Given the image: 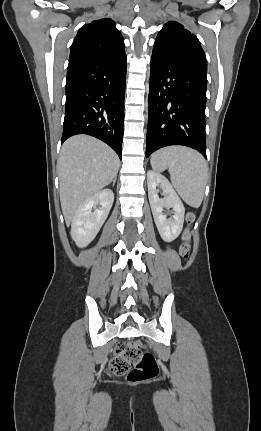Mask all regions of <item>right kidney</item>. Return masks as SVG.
Listing matches in <instances>:
<instances>
[{
	"label": "right kidney",
	"mask_w": 261,
	"mask_h": 431,
	"mask_svg": "<svg viewBox=\"0 0 261 431\" xmlns=\"http://www.w3.org/2000/svg\"><path fill=\"white\" fill-rule=\"evenodd\" d=\"M113 201V191L103 189L78 208L71 224V237L78 247L87 246L96 237L108 217Z\"/></svg>",
	"instance_id": "ca27d5eb"
}]
</instances>
